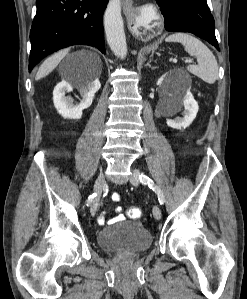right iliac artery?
Here are the masks:
<instances>
[{
  "label": "right iliac artery",
  "instance_id": "obj_1",
  "mask_svg": "<svg viewBox=\"0 0 247 299\" xmlns=\"http://www.w3.org/2000/svg\"><path fill=\"white\" fill-rule=\"evenodd\" d=\"M95 196H96V193H93L92 195H90L88 197L87 206H89L91 204V202L93 201V199H94Z\"/></svg>",
  "mask_w": 247,
  "mask_h": 299
}]
</instances>
